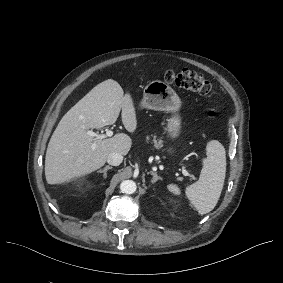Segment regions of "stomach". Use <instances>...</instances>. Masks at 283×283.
Masks as SVG:
<instances>
[{
    "instance_id": "0dacf381",
    "label": "stomach",
    "mask_w": 283,
    "mask_h": 283,
    "mask_svg": "<svg viewBox=\"0 0 283 283\" xmlns=\"http://www.w3.org/2000/svg\"><path fill=\"white\" fill-rule=\"evenodd\" d=\"M141 107L173 113L167 120L166 131L171 139L179 137L181 133V117L177 112L181 107V100L169 85L162 81L150 82L144 89ZM167 152L172 154V148H168Z\"/></svg>"
}]
</instances>
